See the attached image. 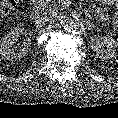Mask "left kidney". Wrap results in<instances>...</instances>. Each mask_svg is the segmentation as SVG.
<instances>
[{
  "instance_id": "left-kidney-1",
  "label": "left kidney",
  "mask_w": 118,
  "mask_h": 118,
  "mask_svg": "<svg viewBox=\"0 0 118 118\" xmlns=\"http://www.w3.org/2000/svg\"><path fill=\"white\" fill-rule=\"evenodd\" d=\"M91 48L96 56L102 60H108L115 57V48L117 42L109 35H97L91 38Z\"/></svg>"
}]
</instances>
